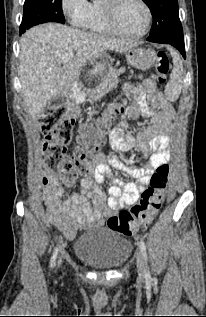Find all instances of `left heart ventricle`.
Returning <instances> with one entry per match:
<instances>
[{
    "mask_svg": "<svg viewBox=\"0 0 206 317\" xmlns=\"http://www.w3.org/2000/svg\"><path fill=\"white\" fill-rule=\"evenodd\" d=\"M116 21L123 32L137 34L145 27L146 13L137 0H122L117 6Z\"/></svg>",
    "mask_w": 206,
    "mask_h": 317,
    "instance_id": "b2bd125f",
    "label": "left heart ventricle"
}]
</instances>
